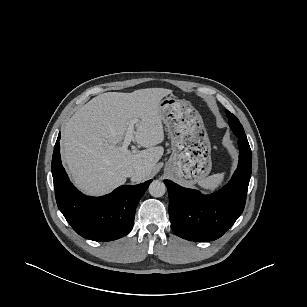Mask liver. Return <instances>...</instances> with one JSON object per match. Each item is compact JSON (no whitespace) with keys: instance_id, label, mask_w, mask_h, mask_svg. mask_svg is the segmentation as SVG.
I'll list each match as a JSON object with an SVG mask.
<instances>
[{"instance_id":"1","label":"liver","mask_w":307,"mask_h":307,"mask_svg":"<svg viewBox=\"0 0 307 307\" xmlns=\"http://www.w3.org/2000/svg\"><path fill=\"white\" fill-rule=\"evenodd\" d=\"M171 93L164 88L107 92L74 113L62 131L61 155L78 189L94 196L109 193L126 182L127 168L139 172L133 182L151 175L164 153L158 146L164 140L159 104ZM134 120V140L146 148L138 153L121 149Z\"/></svg>"}]
</instances>
